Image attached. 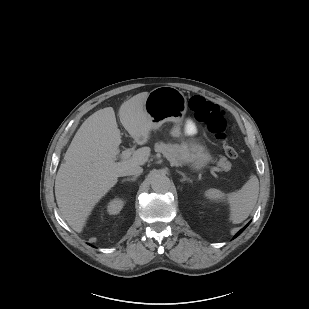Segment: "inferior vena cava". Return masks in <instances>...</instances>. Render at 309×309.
Returning <instances> with one entry per match:
<instances>
[{
	"instance_id": "1",
	"label": "inferior vena cava",
	"mask_w": 309,
	"mask_h": 309,
	"mask_svg": "<svg viewBox=\"0 0 309 309\" xmlns=\"http://www.w3.org/2000/svg\"><path fill=\"white\" fill-rule=\"evenodd\" d=\"M143 172L142 167L140 166H132L125 168L121 171L120 176H129V175H135L138 176Z\"/></svg>"
}]
</instances>
